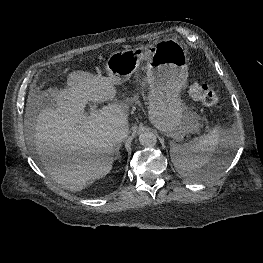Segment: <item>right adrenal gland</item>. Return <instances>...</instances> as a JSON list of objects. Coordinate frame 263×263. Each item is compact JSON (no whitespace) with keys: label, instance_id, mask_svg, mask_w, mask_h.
<instances>
[{"label":"right adrenal gland","instance_id":"2a0ac1e0","mask_svg":"<svg viewBox=\"0 0 263 263\" xmlns=\"http://www.w3.org/2000/svg\"><path fill=\"white\" fill-rule=\"evenodd\" d=\"M120 148H121L120 144L114 146V151H115L114 160H119V162H120V152H119Z\"/></svg>","mask_w":263,"mask_h":263}]
</instances>
